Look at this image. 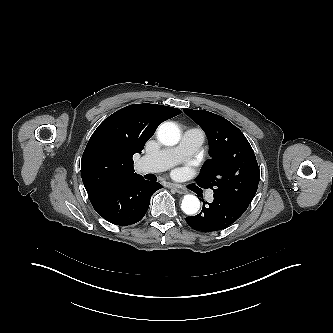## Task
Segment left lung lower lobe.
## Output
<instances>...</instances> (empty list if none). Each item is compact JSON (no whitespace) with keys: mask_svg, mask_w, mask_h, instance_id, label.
Returning a JSON list of instances; mask_svg holds the SVG:
<instances>
[{"mask_svg":"<svg viewBox=\"0 0 333 333\" xmlns=\"http://www.w3.org/2000/svg\"><path fill=\"white\" fill-rule=\"evenodd\" d=\"M212 203L203 201L202 211L196 215L185 218L187 224L200 232H215L227 228L246 211L240 205L213 195ZM208 204L209 206H206Z\"/></svg>","mask_w":333,"mask_h":333,"instance_id":"obj_1","label":"left lung lower lobe"}]
</instances>
